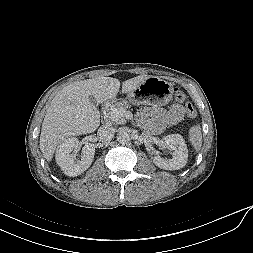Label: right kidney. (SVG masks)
<instances>
[{"mask_svg":"<svg viewBox=\"0 0 253 253\" xmlns=\"http://www.w3.org/2000/svg\"><path fill=\"white\" fill-rule=\"evenodd\" d=\"M78 144L77 138H68L62 141L56 150V162L64 174L68 176L74 177L82 174L90 167L94 159L95 147L93 144L87 143L82 149L81 160H76L75 149L78 148Z\"/></svg>","mask_w":253,"mask_h":253,"instance_id":"1","label":"right kidney"}]
</instances>
